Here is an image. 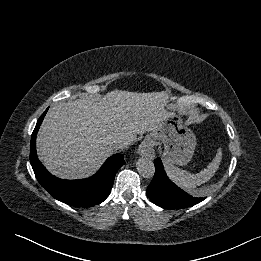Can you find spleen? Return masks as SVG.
<instances>
[{
  "mask_svg": "<svg viewBox=\"0 0 261 261\" xmlns=\"http://www.w3.org/2000/svg\"><path fill=\"white\" fill-rule=\"evenodd\" d=\"M222 148L217 150L216 156L212 162L207 165L205 169L197 174H191L185 170L174 166L171 163H165V170L169 178L179 187L183 189H192L196 186L204 184L209 181L215 172L218 170L220 162L222 160Z\"/></svg>",
  "mask_w": 261,
  "mask_h": 261,
  "instance_id": "3e777b00",
  "label": "spleen"
}]
</instances>
